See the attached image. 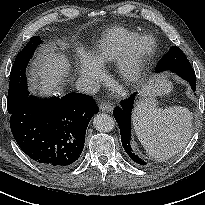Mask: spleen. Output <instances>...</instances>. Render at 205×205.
<instances>
[{"label": "spleen", "instance_id": "3e777b00", "mask_svg": "<svg viewBox=\"0 0 205 205\" xmlns=\"http://www.w3.org/2000/svg\"><path fill=\"white\" fill-rule=\"evenodd\" d=\"M132 121L135 133L146 152L159 161L182 151L191 137L192 113L184 107L151 110L137 107Z\"/></svg>", "mask_w": 205, "mask_h": 205}]
</instances>
